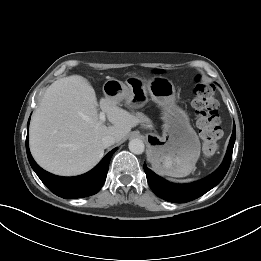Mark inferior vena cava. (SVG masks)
<instances>
[{
	"label": "inferior vena cava",
	"instance_id": "obj_1",
	"mask_svg": "<svg viewBox=\"0 0 261 261\" xmlns=\"http://www.w3.org/2000/svg\"><path fill=\"white\" fill-rule=\"evenodd\" d=\"M102 145L107 148L111 145H113L116 142V139L114 136L106 135L101 139Z\"/></svg>",
	"mask_w": 261,
	"mask_h": 261
}]
</instances>
